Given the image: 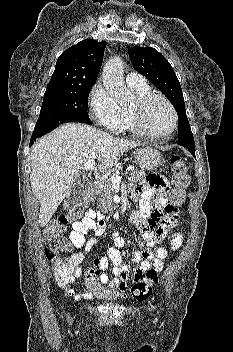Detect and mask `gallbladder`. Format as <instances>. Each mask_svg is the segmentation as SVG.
Here are the masks:
<instances>
[{
	"label": "gallbladder",
	"instance_id": "1",
	"mask_svg": "<svg viewBox=\"0 0 233 352\" xmlns=\"http://www.w3.org/2000/svg\"><path fill=\"white\" fill-rule=\"evenodd\" d=\"M74 186L75 187H74L73 192L68 197V199H70V200L77 199L81 195L84 188L89 186V182H86L85 180L77 179L74 182Z\"/></svg>",
	"mask_w": 233,
	"mask_h": 352
}]
</instances>
